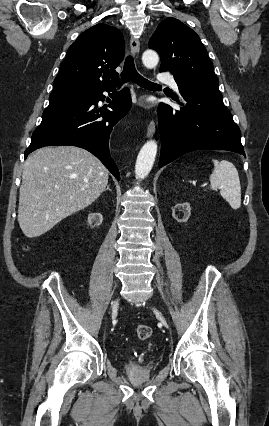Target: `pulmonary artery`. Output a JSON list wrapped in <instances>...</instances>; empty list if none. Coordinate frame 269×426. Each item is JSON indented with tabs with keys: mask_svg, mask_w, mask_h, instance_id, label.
Masks as SVG:
<instances>
[{
	"mask_svg": "<svg viewBox=\"0 0 269 426\" xmlns=\"http://www.w3.org/2000/svg\"><path fill=\"white\" fill-rule=\"evenodd\" d=\"M159 80L169 86H171L174 90L178 91V84L175 78L170 74H161L159 76Z\"/></svg>",
	"mask_w": 269,
	"mask_h": 426,
	"instance_id": "1",
	"label": "pulmonary artery"
}]
</instances>
